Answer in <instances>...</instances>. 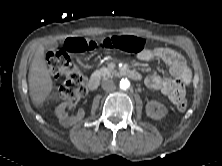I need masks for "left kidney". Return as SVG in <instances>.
<instances>
[{
    "label": "left kidney",
    "instance_id": "left-kidney-1",
    "mask_svg": "<svg viewBox=\"0 0 222 166\" xmlns=\"http://www.w3.org/2000/svg\"><path fill=\"white\" fill-rule=\"evenodd\" d=\"M155 108L157 109L156 111ZM167 112V108L155 100L148 102L146 105V114L152 119L159 120L163 118Z\"/></svg>",
    "mask_w": 222,
    "mask_h": 166
}]
</instances>
